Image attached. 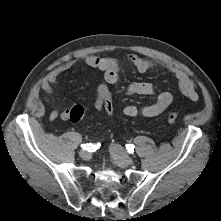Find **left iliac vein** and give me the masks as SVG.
<instances>
[{"mask_svg": "<svg viewBox=\"0 0 221 221\" xmlns=\"http://www.w3.org/2000/svg\"><path fill=\"white\" fill-rule=\"evenodd\" d=\"M109 151L115 163L120 167L131 165L134 162L133 158L126 155L124 149L118 144H112Z\"/></svg>", "mask_w": 221, "mask_h": 221, "instance_id": "4c4485c4", "label": "left iliac vein"}]
</instances>
